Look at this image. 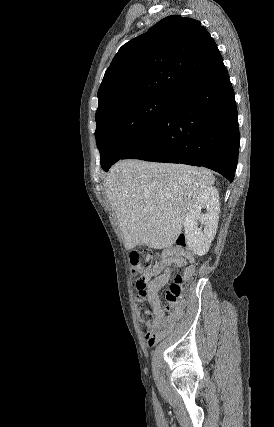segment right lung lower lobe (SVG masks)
<instances>
[{
    "mask_svg": "<svg viewBox=\"0 0 274 427\" xmlns=\"http://www.w3.org/2000/svg\"><path fill=\"white\" fill-rule=\"evenodd\" d=\"M239 140L234 91L223 68L175 96L158 124L122 159L204 166L232 182Z\"/></svg>",
    "mask_w": 274,
    "mask_h": 427,
    "instance_id": "98d812e1",
    "label": "right lung lower lobe"
}]
</instances>
